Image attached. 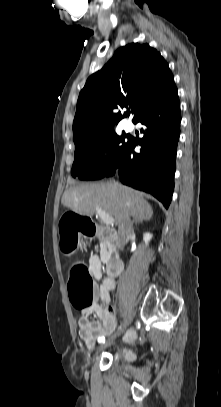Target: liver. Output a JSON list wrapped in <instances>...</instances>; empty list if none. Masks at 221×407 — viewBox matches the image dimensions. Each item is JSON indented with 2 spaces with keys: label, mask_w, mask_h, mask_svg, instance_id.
Wrapping results in <instances>:
<instances>
[{
  "label": "liver",
  "mask_w": 221,
  "mask_h": 407,
  "mask_svg": "<svg viewBox=\"0 0 221 407\" xmlns=\"http://www.w3.org/2000/svg\"><path fill=\"white\" fill-rule=\"evenodd\" d=\"M62 204L73 212L92 217L97 209L110 214L116 224L125 212L140 220H150L153 215L151 205L144 200L142 193L115 182L83 184L66 190Z\"/></svg>",
  "instance_id": "obj_1"
}]
</instances>
